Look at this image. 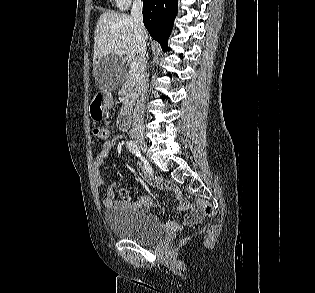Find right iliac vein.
<instances>
[{
    "label": "right iliac vein",
    "mask_w": 315,
    "mask_h": 293,
    "mask_svg": "<svg viewBox=\"0 0 315 293\" xmlns=\"http://www.w3.org/2000/svg\"><path fill=\"white\" fill-rule=\"evenodd\" d=\"M134 141L137 143V145L139 146V148L146 152L147 151V143L145 141V139L141 136H134L133 137Z\"/></svg>",
    "instance_id": "63e3f726"
}]
</instances>
